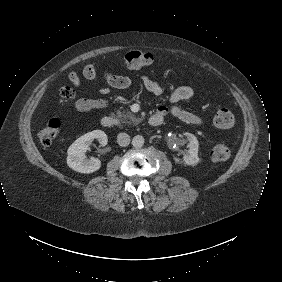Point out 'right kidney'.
Returning a JSON list of instances; mask_svg holds the SVG:
<instances>
[{"mask_svg": "<svg viewBox=\"0 0 282 282\" xmlns=\"http://www.w3.org/2000/svg\"><path fill=\"white\" fill-rule=\"evenodd\" d=\"M94 139H97L101 146H106L107 135L102 130H93L75 140L67 150V165L74 171L80 173H92L100 169L101 161L97 158H86L85 152Z\"/></svg>", "mask_w": 282, "mask_h": 282, "instance_id": "obj_1", "label": "right kidney"}]
</instances>
